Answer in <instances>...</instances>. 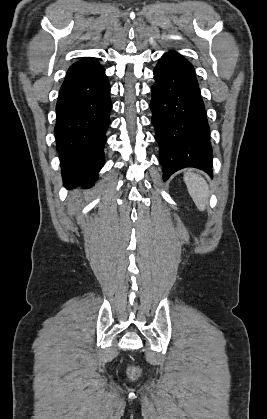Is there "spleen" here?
<instances>
[{
  "label": "spleen",
  "mask_w": 267,
  "mask_h": 419,
  "mask_svg": "<svg viewBox=\"0 0 267 419\" xmlns=\"http://www.w3.org/2000/svg\"><path fill=\"white\" fill-rule=\"evenodd\" d=\"M184 182L197 208L204 211L209 198V187L205 179L188 170L184 174Z\"/></svg>",
  "instance_id": "1"
}]
</instances>
